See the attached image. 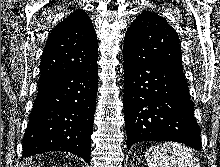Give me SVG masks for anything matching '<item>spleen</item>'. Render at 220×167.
Instances as JSON below:
<instances>
[{
  "mask_svg": "<svg viewBox=\"0 0 220 167\" xmlns=\"http://www.w3.org/2000/svg\"><path fill=\"white\" fill-rule=\"evenodd\" d=\"M145 159L148 167H200L193 151L176 142L150 147L145 152Z\"/></svg>",
  "mask_w": 220,
  "mask_h": 167,
  "instance_id": "1",
  "label": "spleen"
}]
</instances>
